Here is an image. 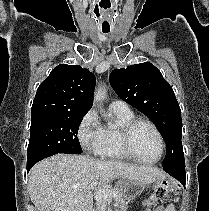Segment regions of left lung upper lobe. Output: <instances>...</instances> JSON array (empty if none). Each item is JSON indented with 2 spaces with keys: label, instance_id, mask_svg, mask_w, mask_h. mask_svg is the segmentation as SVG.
<instances>
[{
  "label": "left lung upper lobe",
  "instance_id": "1",
  "mask_svg": "<svg viewBox=\"0 0 209 211\" xmlns=\"http://www.w3.org/2000/svg\"><path fill=\"white\" fill-rule=\"evenodd\" d=\"M110 84L122 100L156 124L167 145L163 168L185 165L181 110L172 87L161 72L149 62L135 64L113 70Z\"/></svg>",
  "mask_w": 209,
  "mask_h": 211
}]
</instances>
